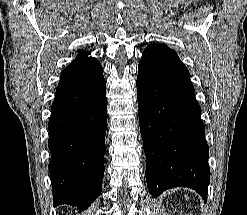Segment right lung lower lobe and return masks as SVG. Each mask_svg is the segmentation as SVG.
Masks as SVG:
<instances>
[{"label": "right lung lower lobe", "mask_w": 247, "mask_h": 215, "mask_svg": "<svg viewBox=\"0 0 247 215\" xmlns=\"http://www.w3.org/2000/svg\"><path fill=\"white\" fill-rule=\"evenodd\" d=\"M89 54L79 52L61 73L48 123L53 204L80 210L101 193L106 150V83Z\"/></svg>", "instance_id": "98d812e1"}]
</instances>
